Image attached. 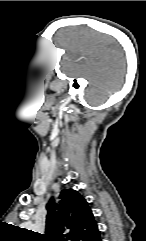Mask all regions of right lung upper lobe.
Returning <instances> with one entry per match:
<instances>
[{"label": "right lung upper lobe", "instance_id": "right-lung-upper-lobe-1", "mask_svg": "<svg viewBox=\"0 0 146 241\" xmlns=\"http://www.w3.org/2000/svg\"><path fill=\"white\" fill-rule=\"evenodd\" d=\"M58 204H47L42 241H99L100 232L86 200L75 190L61 191Z\"/></svg>", "mask_w": 146, "mask_h": 241}]
</instances>
